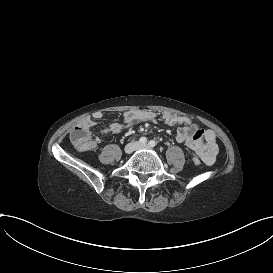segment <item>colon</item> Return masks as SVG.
<instances>
[{"label":"colon","instance_id":"obj_1","mask_svg":"<svg viewBox=\"0 0 273 273\" xmlns=\"http://www.w3.org/2000/svg\"><path fill=\"white\" fill-rule=\"evenodd\" d=\"M93 132V125L89 119H81L75 130L68 134V141L74 143V147L79 151H93L95 142L90 136Z\"/></svg>","mask_w":273,"mask_h":273}]
</instances>
